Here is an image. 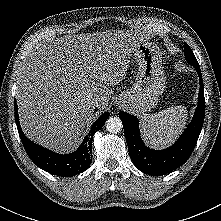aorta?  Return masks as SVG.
<instances>
[{
    "mask_svg": "<svg viewBox=\"0 0 221 221\" xmlns=\"http://www.w3.org/2000/svg\"><path fill=\"white\" fill-rule=\"evenodd\" d=\"M122 127V121L118 117H110L106 121V129L109 133H118Z\"/></svg>",
    "mask_w": 221,
    "mask_h": 221,
    "instance_id": "aorta-1",
    "label": "aorta"
}]
</instances>
